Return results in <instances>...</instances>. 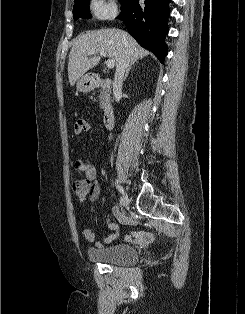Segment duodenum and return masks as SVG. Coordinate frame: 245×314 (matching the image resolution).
Here are the masks:
<instances>
[{"instance_id": "1", "label": "duodenum", "mask_w": 245, "mask_h": 314, "mask_svg": "<svg viewBox=\"0 0 245 314\" xmlns=\"http://www.w3.org/2000/svg\"><path fill=\"white\" fill-rule=\"evenodd\" d=\"M112 81L109 78L97 76L92 78L93 87L109 86ZM104 124L107 130H111L114 126V110L112 107L107 106L104 113Z\"/></svg>"}]
</instances>
